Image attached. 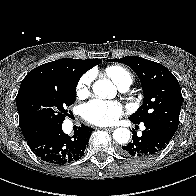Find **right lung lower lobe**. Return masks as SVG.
Returning <instances> with one entry per match:
<instances>
[{
  "label": "right lung lower lobe",
  "instance_id": "98d812e1",
  "mask_svg": "<svg viewBox=\"0 0 196 196\" xmlns=\"http://www.w3.org/2000/svg\"><path fill=\"white\" fill-rule=\"evenodd\" d=\"M92 131V128L81 125L73 136H69L63 132L61 123L36 130L25 139L41 160L64 165L84 155Z\"/></svg>",
  "mask_w": 196,
  "mask_h": 196
}]
</instances>
